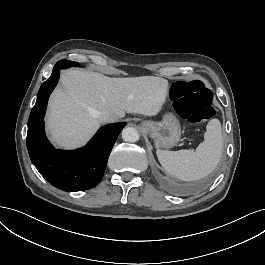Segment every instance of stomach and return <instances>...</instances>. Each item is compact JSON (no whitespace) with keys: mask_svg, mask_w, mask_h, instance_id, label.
Masks as SVG:
<instances>
[{"mask_svg":"<svg viewBox=\"0 0 265 265\" xmlns=\"http://www.w3.org/2000/svg\"><path fill=\"white\" fill-rule=\"evenodd\" d=\"M142 128L154 139L157 148H172L181 137L180 123L172 114H166L161 122L144 121Z\"/></svg>","mask_w":265,"mask_h":265,"instance_id":"stomach-1","label":"stomach"}]
</instances>
